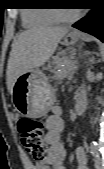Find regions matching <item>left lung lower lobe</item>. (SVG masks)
<instances>
[{"label":"left lung lower lobe","mask_w":104,"mask_h":169,"mask_svg":"<svg viewBox=\"0 0 104 169\" xmlns=\"http://www.w3.org/2000/svg\"><path fill=\"white\" fill-rule=\"evenodd\" d=\"M73 27L104 41V11L100 8H92L88 15L75 23Z\"/></svg>","instance_id":"obj_1"}]
</instances>
